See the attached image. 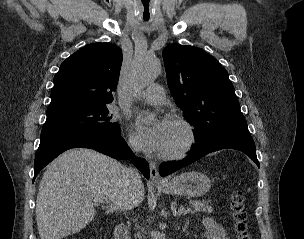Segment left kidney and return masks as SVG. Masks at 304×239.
Here are the masks:
<instances>
[{
  "label": "left kidney",
  "instance_id": "obj_1",
  "mask_svg": "<svg viewBox=\"0 0 304 239\" xmlns=\"http://www.w3.org/2000/svg\"><path fill=\"white\" fill-rule=\"evenodd\" d=\"M202 223L207 229L208 239H229L226 236L225 229L212 218H204Z\"/></svg>",
  "mask_w": 304,
  "mask_h": 239
}]
</instances>
